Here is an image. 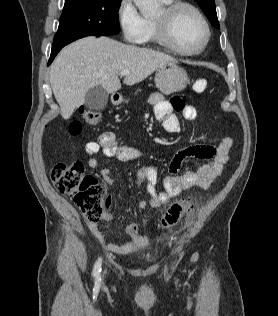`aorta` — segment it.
Masks as SVG:
<instances>
[{
	"label": "aorta",
	"mask_w": 278,
	"mask_h": 316,
	"mask_svg": "<svg viewBox=\"0 0 278 316\" xmlns=\"http://www.w3.org/2000/svg\"><path fill=\"white\" fill-rule=\"evenodd\" d=\"M138 7L140 13L144 17L155 15L159 12V4L157 0H133Z\"/></svg>",
	"instance_id": "1"
}]
</instances>
